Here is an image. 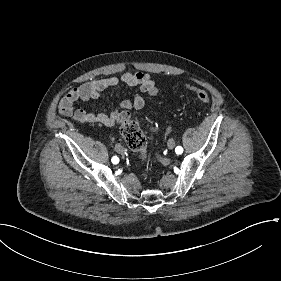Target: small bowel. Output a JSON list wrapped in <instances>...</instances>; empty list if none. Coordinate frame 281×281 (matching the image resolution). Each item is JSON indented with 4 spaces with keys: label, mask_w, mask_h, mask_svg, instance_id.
I'll list each match as a JSON object with an SVG mask.
<instances>
[{
    "label": "small bowel",
    "mask_w": 281,
    "mask_h": 281,
    "mask_svg": "<svg viewBox=\"0 0 281 281\" xmlns=\"http://www.w3.org/2000/svg\"><path fill=\"white\" fill-rule=\"evenodd\" d=\"M120 84L137 87L139 92L131 100H125L118 107L108 111H87L75 108L77 101L97 99L103 91H111ZM155 88V81L150 74L142 71H125L120 76L91 80L73 87L62 97L59 112L78 123H101L112 126L122 115L130 114L131 110L142 109L145 104L142 94L153 95L151 91Z\"/></svg>",
    "instance_id": "small-bowel-1"
}]
</instances>
